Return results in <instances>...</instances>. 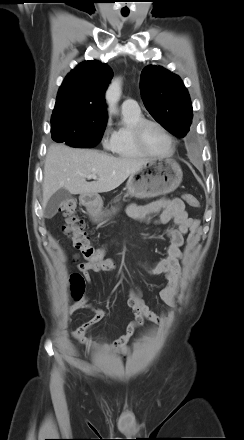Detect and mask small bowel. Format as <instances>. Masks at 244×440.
I'll list each match as a JSON object with an SVG mask.
<instances>
[{"label":"small bowel","instance_id":"small-bowel-1","mask_svg":"<svg viewBox=\"0 0 244 440\" xmlns=\"http://www.w3.org/2000/svg\"><path fill=\"white\" fill-rule=\"evenodd\" d=\"M157 213H161L160 217L158 220L153 221L151 216ZM128 214L132 218L146 223L154 222L158 225H165L170 221L174 223V226L168 227L165 230V234L170 239V245L166 250L165 256L157 262L146 266L150 274L165 276L167 284L159 292V297L168 307L174 308L180 275L179 259L182 255L181 246L184 242V235L192 226L193 219L189 217L184 203L178 198H161L146 204H132L128 207ZM79 270L83 273L86 281L90 283L91 272L100 271L101 269L89 262H83L79 264ZM127 304L134 312V320L128 324L126 332L122 336L102 346L89 339L86 336V332L89 328L101 322L107 316V313L96 306L87 304L85 300L72 304L69 308V313L71 314L82 309H89L94 312V316L89 321L80 325L73 332L74 338L87 349L101 348L104 351L114 350L126 356L130 350L128 346L130 338L133 336L136 328L141 326L145 320L166 326L173 319V314H170L168 318H161L150 310L142 300L141 293L137 287L130 291Z\"/></svg>","mask_w":244,"mask_h":440}]
</instances>
